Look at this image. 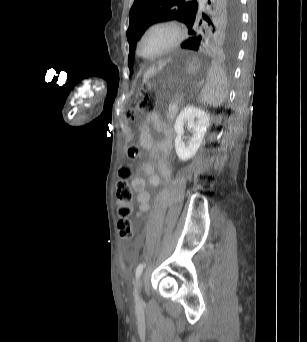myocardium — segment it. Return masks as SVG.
I'll return each instance as SVG.
<instances>
[{
	"label": "myocardium",
	"instance_id": "myocardium-1",
	"mask_svg": "<svg viewBox=\"0 0 307 342\" xmlns=\"http://www.w3.org/2000/svg\"><path fill=\"white\" fill-rule=\"evenodd\" d=\"M156 25H166V26L171 27V29L173 30V33H174V38L171 41V43L166 48H164L162 51H160L159 53H157L156 55H154L152 57H146L142 54L141 43H142V40H143L145 33L150 28H152ZM183 40H184V32H183L180 24L175 19L166 18V17L156 18V19L150 21L141 31L139 38H138V42H137V52H138L139 56L141 58H143L144 60H147V61L157 60V59L162 58V57L166 56L167 54L171 53L175 49H177L182 44Z\"/></svg>",
	"mask_w": 307,
	"mask_h": 342
}]
</instances>
